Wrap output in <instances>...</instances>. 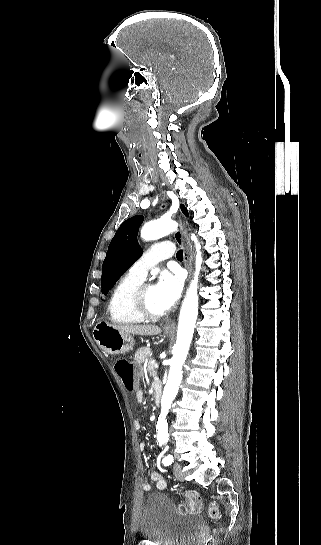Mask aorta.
<instances>
[{"mask_svg": "<svg viewBox=\"0 0 321 545\" xmlns=\"http://www.w3.org/2000/svg\"><path fill=\"white\" fill-rule=\"evenodd\" d=\"M177 228V223L173 220L161 218L146 223L141 230V237L145 241L160 239ZM196 249L195 275L186 297L182 303L179 315L178 331L176 344L173 347V357L170 361V370L168 381L163 391L161 399V414L157 422V441L159 444H165L168 441V423L166 416L171 404L177 395L182 380V366L186 360L189 347L192 341L194 327L198 315V276L202 264L201 245L195 234L191 235Z\"/></svg>", "mask_w": 321, "mask_h": 545, "instance_id": "obj_1", "label": "aorta"}]
</instances>
